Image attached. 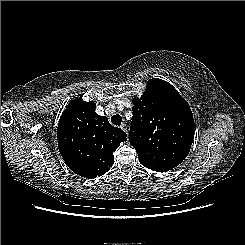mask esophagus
Returning a JSON list of instances; mask_svg holds the SVG:
<instances>
[{
    "mask_svg": "<svg viewBox=\"0 0 245 245\" xmlns=\"http://www.w3.org/2000/svg\"><path fill=\"white\" fill-rule=\"evenodd\" d=\"M120 127H121V129H122L124 132L128 133V129H127V125H126V124H122Z\"/></svg>",
    "mask_w": 245,
    "mask_h": 245,
    "instance_id": "esophagus-1",
    "label": "esophagus"
}]
</instances>
